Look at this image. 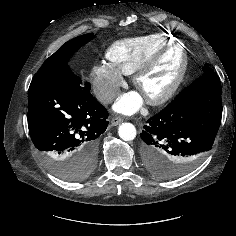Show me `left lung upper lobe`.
Wrapping results in <instances>:
<instances>
[{
  "label": "left lung upper lobe",
  "mask_w": 236,
  "mask_h": 236,
  "mask_svg": "<svg viewBox=\"0 0 236 236\" xmlns=\"http://www.w3.org/2000/svg\"><path fill=\"white\" fill-rule=\"evenodd\" d=\"M204 73H209V72H213V70L209 67L208 64H206L203 68Z\"/></svg>",
  "instance_id": "left-lung-upper-lobe-1"
}]
</instances>
